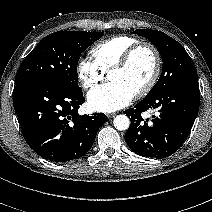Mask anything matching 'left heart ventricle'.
Instances as JSON below:
<instances>
[{"mask_svg":"<svg viewBox=\"0 0 212 212\" xmlns=\"http://www.w3.org/2000/svg\"><path fill=\"white\" fill-rule=\"evenodd\" d=\"M153 70L154 58L152 53L149 50H141L126 69L111 72L108 79L126 86L135 94L147 83Z\"/></svg>","mask_w":212,"mask_h":212,"instance_id":"1","label":"left heart ventricle"}]
</instances>
